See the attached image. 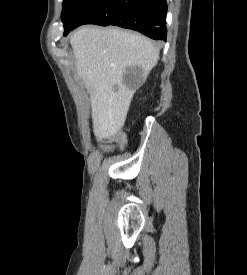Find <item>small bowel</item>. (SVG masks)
Instances as JSON below:
<instances>
[{"mask_svg": "<svg viewBox=\"0 0 247 275\" xmlns=\"http://www.w3.org/2000/svg\"><path fill=\"white\" fill-rule=\"evenodd\" d=\"M106 150H107V151H113V150H114V148H112V147H108V148H106Z\"/></svg>", "mask_w": 247, "mask_h": 275, "instance_id": "obj_1", "label": "small bowel"}]
</instances>
